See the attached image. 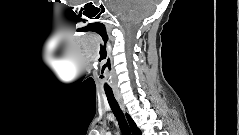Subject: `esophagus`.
Here are the masks:
<instances>
[{
    "label": "esophagus",
    "mask_w": 239,
    "mask_h": 135,
    "mask_svg": "<svg viewBox=\"0 0 239 135\" xmlns=\"http://www.w3.org/2000/svg\"><path fill=\"white\" fill-rule=\"evenodd\" d=\"M116 98H117V100H118V102H119L121 108L124 109V108H123V105H122V103H121L120 97H119L118 94H116Z\"/></svg>",
    "instance_id": "1"
}]
</instances>
